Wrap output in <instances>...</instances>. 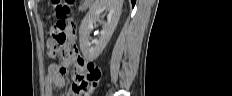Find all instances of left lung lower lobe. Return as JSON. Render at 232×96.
Masks as SVG:
<instances>
[{
	"label": "left lung lower lobe",
	"instance_id": "1",
	"mask_svg": "<svg viewBox=\"0 0 232 96\" xmlns=\"http://www.w3.org/2000/svg\"><path fill=\"white\" fill-rule=\"evenodd\" d=\"M131 2H132V5L134 6L135 5V0H131Z\"/></svg>",
	"mask_w": 232,
	"mask_h": 96
}]
</instances>
